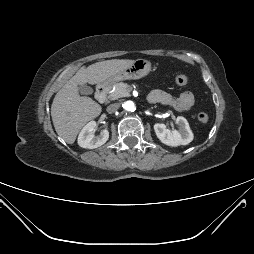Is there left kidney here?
<instances>
[{
  "label": "left kidney",
  "instance_id": "1",
  "mask_svg": "<svg viewBox=\"0 0 254 254\" xmlns=\"http://www.w3.org/2000/svg\"><path fill=\"white\" fill-rule=\"evenodd\" d=\"M176 123L179 126V130H169L165 124L156 123L154 125V131L158 139L168 146L176 147L180 145H187L193 140V133L189 127L188 121L178 116Z\"/></svg>",
  "mask_w": 254,
  "mask_h": 254
}]
</instances>
